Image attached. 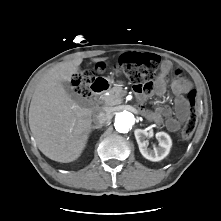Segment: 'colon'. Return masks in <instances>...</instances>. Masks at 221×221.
Segmentation results:
<instances>
[{
  "label": "colon",
  "instance_id": "obj_1",
  "mask_svg": "<svg viewBox=\"0 0 221 221\" xmlns=\"http://www.w3.org/2000/svg\"><path fill=\"white\" fill-rule=\"evenodd\" d=\"M159 66V58L153 54H139L131 56L126 61H122L115 69L127 76L137 88L150 90L153 86V79ZM98 72H104L105 66H97ZM92 76L89 72L77 73L73 77L76 93L81 97H87L89 94V83ZM190 105L188 119L183 126L181 135L184 139H190L194 133L197 123V112L195 109L196 93L190 90L186 94Z\"/></svg>",
  "mask_w": 221,
  "mask_h": 221
}]
</instances>
